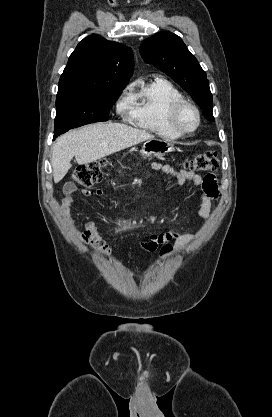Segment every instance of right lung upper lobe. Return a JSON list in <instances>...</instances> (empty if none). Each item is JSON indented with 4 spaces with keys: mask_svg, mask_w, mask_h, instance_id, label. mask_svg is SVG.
Instances as JSON below:
<instances>
[{
    "mask_svg": "<svg viewBox=\"0 0 272 417\" xmlns=\"http://www.w3.org/2000/svg\"><path fill=\"white\" fill-rule=\"evenodd\" d=\"M133 70L131 48L93 34L70 55L59 80L57 98L124 89Z\"/></svg>",
    "mask_w": 272,
    "mask_h": 417,
    "instance_id": "1",
    "label": "right lung upper lobe"
}]
</instances>
